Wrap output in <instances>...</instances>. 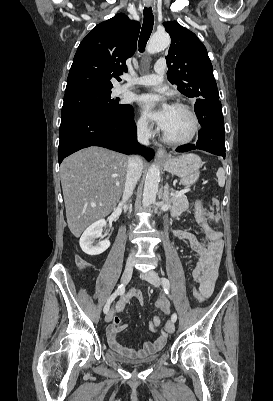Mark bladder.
I'll list each match as a JSON object with an SVG mask.
<instances>
[{
  "label": "bladder",
  "instance_id": "obj_1",
  "mask_svg": "<svg viewBox=\"0 0 273 401\" xmlns=\"http://www.w3.org/2000/svg\"><path fill=\"white\" fill-rule=\"evenodd\" d=\"M109 354L113 360H115L121 364L128 365V366L149 365V364H152L155 361H157L160 356L159 353H156V354H153L142 360L133 361V360H128V359L124 358L123 356L119 355L118 353H116L112 350H109Z\"/></svg>",
  "mask_w": 273,
  "mask_h": 401
}]
</instances>
